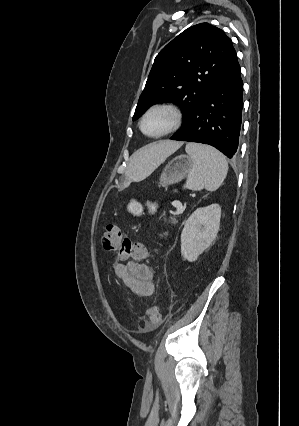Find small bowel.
<instances>
[{"instance_id":"obj_1","label":"small bowel","mask_w":299,"mask_h":426,"mask_svg":"<svg viewBox=\"0 0 299 426\" xmlns=\"http://www.w3.org/2000/svg\"><path fill=\"white\" fill-rule=\"evenodd\" d=\"M114 271L123 283L139 296H149L154 291V272L146 264L129 261L126 264L115 262Z\"/></svg>"}]
</instances>
